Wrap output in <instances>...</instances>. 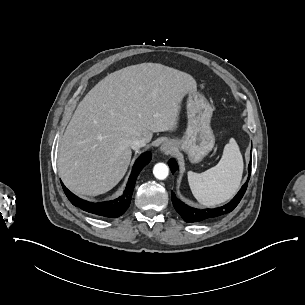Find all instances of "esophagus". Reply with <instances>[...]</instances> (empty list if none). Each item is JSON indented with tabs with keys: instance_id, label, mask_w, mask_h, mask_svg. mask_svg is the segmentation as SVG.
Wrapping results in <instances>:
<instances>
[{
	"instance_id": "esophagus-1",
	"label": "esophagus",
	"mask_w": 305,
	"mask_h": 305,
	"mask_svg": "<svg viewBox=\"0 0 305 305\" xmlns=\"http://www.w3.org/2000/svg\"><path fill=\"white\" fill-rule=\"evenodd\" d=\"M174 149H175L174 145L169 141L164 142L160 146V150L164 153H167V154L172 153L174 151Z\"/></svg>"
}]
</instances>
